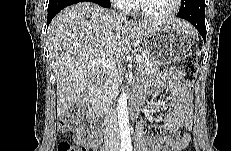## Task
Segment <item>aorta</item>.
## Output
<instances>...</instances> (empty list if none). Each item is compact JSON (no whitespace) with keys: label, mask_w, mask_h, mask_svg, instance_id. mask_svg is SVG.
<instances>
[{"label":"aorta","mask_w":231,"mask_h":151,"mask_svg":"<svg viewBox=\"0 0 231 151\" xmlns=\"http://www.w3.org/2000/svg\"><path fill=\"white\" fill-rule=\"evenodd\" d=\"M128 96L123 92L118 100L117 113L121 141L123 144L129 145L131 143L130 126L127 107Z\"/></svg>","instance_id":"762f6f07"}]
</instances>
